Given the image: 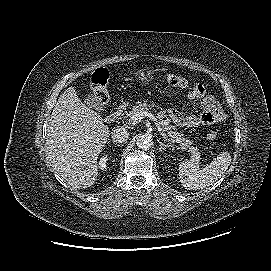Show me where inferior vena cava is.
Returning a JSON list of instances; mask_svg holds the SVG:
<instances>
[{
  "mask_svg": "<svg viewBox=\"0 0 271 271\" xmlns=\"http://www.w3.org/2000/svg\"><path fill=\"white\" fill-rule=\"evenodd\" d=\"M112 140L118 143H123L128 140L129 132L124 127H115L111 132Z\"/></svg>",
  "mask_w": 271,
  "mask_h": 271,
  "instance_id": "obj_1",
  "label": "inferior vena cava"
}]
</instances>
